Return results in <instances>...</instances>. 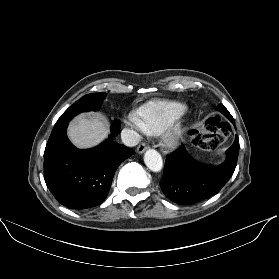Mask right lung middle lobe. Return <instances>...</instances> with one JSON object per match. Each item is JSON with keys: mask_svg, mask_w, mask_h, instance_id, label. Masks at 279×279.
<instances>
[{"mask_svg": "<svg viewBox=\"0 0 279 279\" xmlns=\"http://www.w3.org/2000/svg\"><path fill=\"white\" fill-rule=\"evenodd\" d=\"M106 93H91L83 96L81 99L71 105L58 119L57 123L69 121L80 112L99 109Z\"/></svg>", "mask_w": 279, "mask_h": 279, "instance_id": "dd1d6c3e", "label": "right lung middle lobe"}]
</instances>
